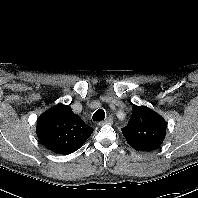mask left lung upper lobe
Returning <instances> with one entry per match:
<instances>
[{
	"instance_id": "1",
	"label": "left lung upper lobe",
	"mask_w": 198,
	"mask_h": 198,
	"mask_svg": "<svg viewBox=\"0 0 198 198\" xmlns=\"http://www.w3.org/2000/svg\"><path fill=\"white\" fill-rule=\"evenodd\" d=\"M167 123L145 106L134 105L128 125L121 129L128 144L137 151L156 150L166 136Z\"/></svg>"
}]
</instances>
